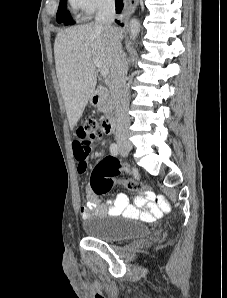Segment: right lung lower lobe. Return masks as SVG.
I'll list each match as a JSON object with an SVG mask.
<instances>
[{
    "label": "right lung lower lobe",
    "mask_w": 227,
    "mask_h": 298,
    "mask_svg": "<svg viewBox=\"0 0 227 298\" xmlns=\"http://www.w3.org/2000/svg\"><path fill=\"white\" fill-rule=\"evenodd\" d=\"M115 4H116V12L120 13L121 9L123 7V0H115ZM118 24H120L121 26H123V23H120V21H116Z\"/></svg>",
    "instance_id": "obj_1"
}]
</instances>
